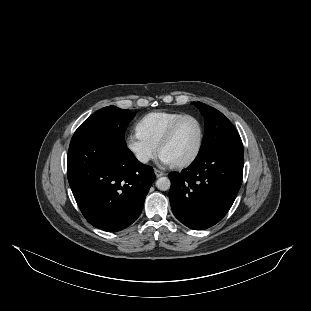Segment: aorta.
I'll return each mask as SVG.
<instances>
[{
  "mask_svg": "<svg viewBox=\"0 0 311 311\" xmlns=\"http://www.w3.org/2000/svg\"><path fill=\"white\" fill-rule=\"evenodd\" d=\"M156 187L161 191H167L170 189L171 181L168 177H160L156 181Z\"/></svg>",
  "mask_w": 311,
  "mask_h": 311,
  "instance_id": "obj_1",
  "label": "aorta"
}]
</instances>
